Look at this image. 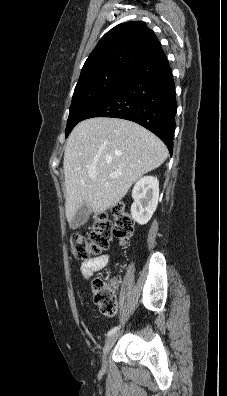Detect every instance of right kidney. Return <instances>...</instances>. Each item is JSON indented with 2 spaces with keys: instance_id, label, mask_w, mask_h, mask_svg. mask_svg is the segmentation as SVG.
I'll use <instances>...</instances> for the list:
<instances>
[{
  "instance_id": "ca27d5eb",
  "label": "right kidney",
  "mask_w": 227,
  "mask_h": 396,
  "mask_svg": "<svg viewBox=\"0 0 227 396\" xmlns=\"http://www.w3.org/2000/svg\"><path fill=\"white\" fill-rule=\"evenodd\" d=\"M134 200L131 215L140 225L146 224L156 210L159 199V182L156 177L144 176L132 190Z\"/></svg>"
}]
</instances>
